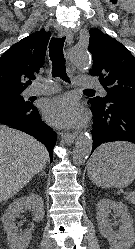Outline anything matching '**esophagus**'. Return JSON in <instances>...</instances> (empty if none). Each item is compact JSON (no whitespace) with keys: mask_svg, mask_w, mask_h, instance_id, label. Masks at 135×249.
I'll use <instances>...</instances> for the list:
<instances>
[{"mask_svg":"<svg viewBox=\"0 0 135 249\" xmlns=\"http://www.w3.org/2000/svg\"><path fill=\"white\" fill-rule=\"evenodd\" d=\"M59 36L60 37H65L66 38V42L67 45L70 46L72 41H73V34L71 31L66 30V29H60L59 30ZM77 136L76 132L73 133H61V138L62 140L67 144V145H71L75 138Z\"/></svg>","mask_w":135,"mask_h":249,"instance_id":"esophagus-1","label":"esophagus"}]
</instances>
